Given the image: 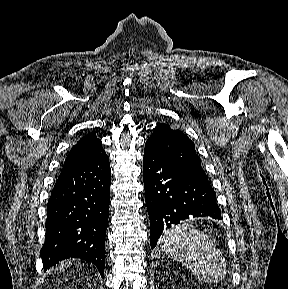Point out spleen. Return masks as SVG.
<instances>
[{"label":"spleen","mask_w":288,"mask_h":289,"mask_svg":"<svg viewBox=\"0 0 288 289\" xmlns=\"http://www.w3.org/2000/svg\"><path fill=\"white\" fill-rule=\"evenodd\" d=\"M162 248L175 261L181 262L198 279L216 283L226 275V261L211 238L193 224L181 222L165 230Z\"/></svg>","instance_id":"spleen-1"}]
</instances>
